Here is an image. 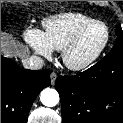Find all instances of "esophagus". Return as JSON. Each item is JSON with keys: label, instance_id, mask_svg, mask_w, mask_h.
Masks as SVG:
<instances>
[{"label": "esophagus", "instance_id": "obj_1", "mask_svg": "<svg viewBox=\"0 0 123 123\" xmlns=\"http://www.w3.org/2000/svg\"><path fill=\"white\" fill-rule=\"evenodd\" d=\"M50 79H51V84L54 85L55 81L57 79V74L52 72L51 75H50Z\"/></svg>", "mask_w": 123, "mask_h": 123}]
</instances>
